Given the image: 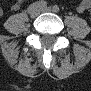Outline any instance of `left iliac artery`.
<instances>
[{
    "instance_id": "left-iliac-artery-1",
    "label": "left iliac artery",
    "mask_w": 91,
    "mask_h": 91,
    "mask_svg": "<svg viewBox=\"0 0 91 91\" xmlns=\"http://www.w3.org/2000/svg\"><path fill=\"white\" fill-rule=\"evenodd\" d=\"M59 10H60V8H59L58 5H54V6H53V11H54V12H59Z\"/></svg>"
}]
</instances>
